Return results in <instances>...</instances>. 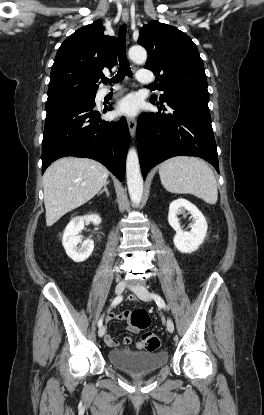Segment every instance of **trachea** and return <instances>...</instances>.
Instances as JSON below:
<instances>
[{
    "instance_id": "1",
    "label": "trachea",
    "mask_w": 264,
    "mask_h": 415,
    "mask_svg": "<svg viewBox=\"0 0 264 415\" xmlns=\"http://www.w3.org/2000/svg\"><path fill=\"white\" fill-rule=\"evenodd\" d=\"M118 61H119V70L117 74L112 79H102V82L105 84L111 83H118L120 82L124 76H132L131 68L129 61L126 55V26L122 25L119 30L118 35ZM149 87H154L153 85H149Z\"/></svg>"
}]
</instances>
